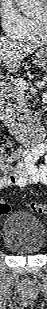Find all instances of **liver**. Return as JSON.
Segmentation results:
<instances>
[{"label": "liver", "mask_w": 47, "mask_h": 309, "mask_svg": "<svg viewBox=\"0 0 47 309\" xmlns=\"http://www.w3.org/2000/svg\"><path fill=\"white\" fill-rule=\"evenodd\" d=\"M38 48L35 44H23L6 37H0V62L8 72L18 70L21 62Z\"/></svg>", "instance_id": "obj_1"}]
</instances>
